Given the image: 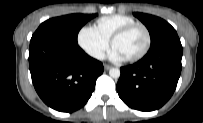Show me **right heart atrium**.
Wrapping results in <instances>:
<instances>
[{
	"label": "right heart atrium",
	"mask_w": 203,
	"mask_h": 123,
	"mask_svg": "<svg viewBox=\"0 0 203 123\" xmlns=\"http://www.w3.org/2000/svg\"><path fill=\"white\" fill-rule=\"evenodd\" d=\"M78 45L92 58L100 60L109 48L110 42L96 27L83 26L77 34Z\"/></svg>",
	"instance_id": "1"
}]
</instances>
